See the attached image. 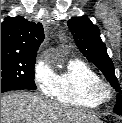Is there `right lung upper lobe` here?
I'll return each instance as SVG.
<instances>
[{"label": "right lung upper lobe", "mask_w": 122, "mask_h": 123, "mask_svg": "<svg viewBox=\"0 0 122 123\" xmlns=\"http://www.w3.org/2000/svg\"><path fill=\"white\" fill-rule=\"evenodd\" d=\"M44 37L41 23L7 17L1 23V54L36 56Z\"/></svg>", "instance_id": "cb5924a9"}]
</instances>
